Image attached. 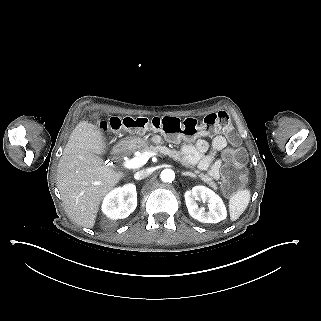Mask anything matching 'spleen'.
Wrapping results in <instances>:
<instances>
[{"label":"spleen","mask_w":321,"mask_h":321,"mask_svg":"<svg viewBox=\"0 0 321 321\" xmlns=\"http://www.w3.org/2000/svg\"><path fill=\"white\" fill-rule=\"evenodd\" d=\"M251 199V191L248 188L237 190L228 200V212L230 221H236L247 208Z\"/></svg>","instance_id":"3e777b00"}]
</instances>
